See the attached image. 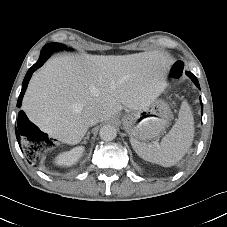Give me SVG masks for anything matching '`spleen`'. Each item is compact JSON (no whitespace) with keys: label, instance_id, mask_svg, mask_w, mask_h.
Returning a JSON list of instances; mask_svg holds the SVG:
<instances>
[{"label":"spleen","instance_id":"spleen-1","mask_svg":"<svg viewBox=\"0 0 227 227\" xmlns=\"http://www.w3.org/2000/svg\"><path fill=\"white\" fill-rule=\"evenodd\" d=\"M193 137V115L188 103L183 101L177 121L160 144L157 142L147 144L133 138L130 142L134 151L144 160L170 167L184 157L192 145Z\"/></svg>","mask_w":227,"mask_h":227}]
</instances>
